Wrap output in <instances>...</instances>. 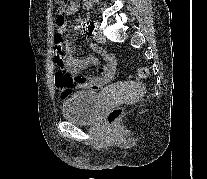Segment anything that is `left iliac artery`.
Returning <instances> with one entry per match:
<instances>
[{
  "label": "left iliac artery",
  "instance_id": "left-iliac-artery-1",
  "mask_svg": "<svg viewBox=\"0 0 207 179\" xmlns=\"http://www.w3.org/2000/svg\"><path fill=\"white\" fill-rule=\"evenodd\" d=\"M93 25H94L93 22H88V23H87V28H92Z\"/></svg>",
  "mask_w": 207,
  "mask_h": 179
}]
</instances>
